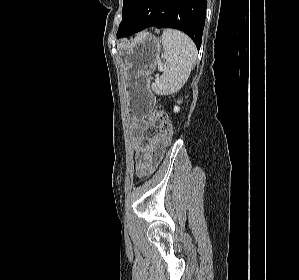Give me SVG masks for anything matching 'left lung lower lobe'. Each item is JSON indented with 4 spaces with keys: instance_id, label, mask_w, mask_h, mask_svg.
Segmentation results:
<instances>
[{
    "instance_id": "0a47b994",
    "label": "left lung lower lobe",
    "mask_w": 299,
    "mask_h": 280,
    "mask_svg": "<svg viewBox=\"0 0 299 280\" xmlns=\"http://www.w3.org/2000/svg\"><path fill=\"white\" fill-rule=\"evenodd\" d=\"M207 0H135L130 21L118 38L148 27L174 28L188 34L201 46Z\"/></svg>"
}]
</instances>
